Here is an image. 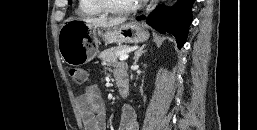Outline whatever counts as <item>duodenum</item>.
Listing matches in <instances>:
<instances>
[{
	"label": "duodenum",
	"mask_w": 257,
	"mask_h": 130,
	"mask_svg": "<svg viewBox=\"0 0 257 130\" xmlns=\"http://www.w3.org/2000/svg\"><path fill=\"white\" fill-rule=\"evenodd\" d=\"M117 88L120 96L126 98L129 95L128 80L120 79L117 81Z\"/></svg>",
	"instance_id": "duodenum-1"
}]
</instances>
